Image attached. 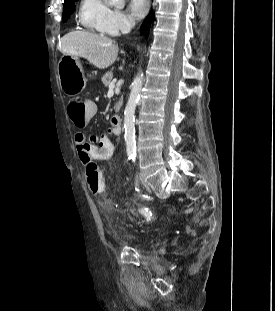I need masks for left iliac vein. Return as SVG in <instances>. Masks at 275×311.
Listing matches in <instances>:
<instances>
[{
    "label": "left iliac vein",
    "mask_w": 275,
    "mask_h": 311,
    "mask_svg": "<svg viewBox=\"0 0 275 311\" xmlns=\"http://www.w3.org/2000/svg\"><path fill=\"white\" fill-rule=\"evenodd\" d=\"M140 181L142 182L143 185H145V181L142 176H140Z\"/></svg>",
    "instance_id": "left-iliac-vein-1"
}]
</instances>
